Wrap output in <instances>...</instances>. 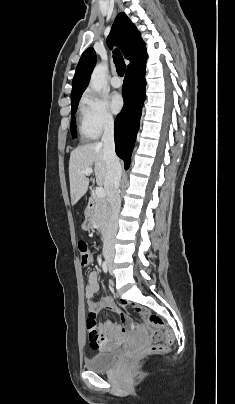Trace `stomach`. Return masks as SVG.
Returning a JSON list of instances; mask_svg holds the SVG:
<instances>
[{
  "label": "stomach",
  "mask_w": 235,
  "mask_h": 404,
  "mask_svg": "<svg viewBox=\"0 0 235 404\" xmlns=\"http://www.w3.org/2000/svg\"><path fill=\"white\" fill-rule=\"evenodd\" d=\"M90 227H91L90 220L87 219V220L83 223L82 228H83L84 230H88V229H90Z\"/></svg>",
  "instance_id": "0dacf381"
}]
</instances>
